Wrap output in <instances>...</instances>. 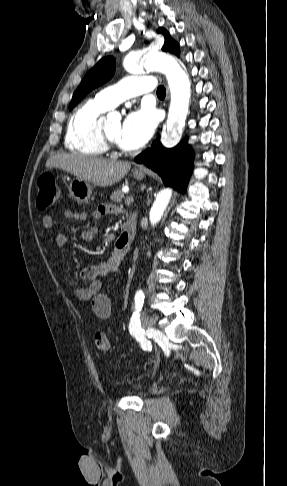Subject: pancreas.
Here are the masks:
<instances>
[{
    "mask_svg": "<svg viewBox=\"0 0 287 486\" xmlns=\"http://www.w3.org/2000/svg\"><path fill=\"white\" fill-rule=\"evenodd\" d=\"M123 198H124V194L120 189L112 193V195L110 196V199L117 203H121Z\"/></svg>",
    "mask_w": 287,
    "mask_h": 486,
    "instance_id": "pancreas-1",
    "label": "pancreas"
}]
</instances>
